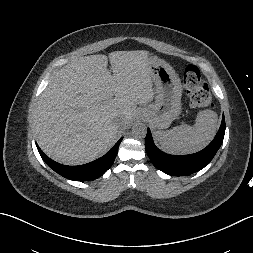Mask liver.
<instances>
[{
    "label": "liver",
    "mask_w": 253,
    "mask_h": 253,
    "mask_svg": "<svg viewBox=\"0 0 253 253\" xmlns=\"http://www.w3.org/2000/svg\"><path fill=\"white\" fill-rule=\"evenodd\" d=\"M152 81L149 53L143 50L81 57L54 71L33 111L40 148L66 165L97 159L137 105L153 100Z\"/></svg>",
    "instance_id": "liver-1"
}]
</instances>
